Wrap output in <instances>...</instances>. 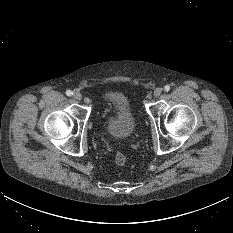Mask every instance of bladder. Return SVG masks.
<instances>
[{
  "label": "bladder",
  "instance_id": "obj_1",
  "mask_svg": "<svg viewBox=\"0 0 233 233\" xmlns=\"http://www.w3.org/2000/svg\"><path fill=\"white\" fill-rule=\"evenodd\" d=\"M106 117L104 126L107 134L117 140L131 138L136 122L130 111L128 99L122 92H111L105 97Z\"/></svg>",
  "mask_w": 233,
  "mask_h": 233
}]
</instances>
